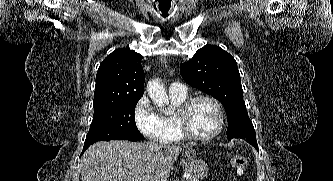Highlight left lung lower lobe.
Listing matches in <instances>:
<instances>
[{"label": "left lung lower lobe", "instance_id": "1", "mask_svg": "<svg viewBox=\"0 0 333 181\" xmlns=\"http://www.w3.org/2000/svg\"><path fill=\"white\" fill-rule=\"evenodd\" d=\"M237 138H241V139H244L245 141H247L248 143H250L252 146H254L256 149L258 148L257 146V141L256 140H253L252 138L244 135V134H241L240 136H238ZM230 140V139H228Z\"/></svg>", "mask_w": 333, "mask_h": 181}]
</instances>
